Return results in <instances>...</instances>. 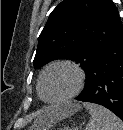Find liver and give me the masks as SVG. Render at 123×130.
<instances>
[{
	"label": "liver",
	"mask_w": 123,
	"mask_h": 130,
	"mask_svg": "<svg viewBox=\"0 0 123 130\" xmlns=\"http://www.w3.org/2000/svg\"><path fill=\"white\" fill-rule=\"evenodd\" d=\"M79 108V105L73 103H67L63 107H48L37 115L31 128L32 130H49L59 120H62Z\"/></svg>",
	"instance_id": "6515ba94"
}]
</instances>
